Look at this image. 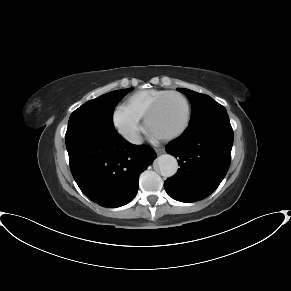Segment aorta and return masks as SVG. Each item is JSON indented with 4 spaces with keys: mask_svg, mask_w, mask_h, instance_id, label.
I'll list each match as a JSON object with an SVG mask.
<instances>
[{
    "mask_svg": "<svg viewBox=\"0 0 291 291\" xmlns=\"http://www.w3.org/2000/svg\"><path fill=\"white\" fill-rule=\"evenodd\" d=\"M157 163L163 177H172L178 170V162L176 158L170 154L159 156Z\"/></svg>",
    "mask_w": 291,
    "mask_h": 291,
    "instance_id": "aorta-1",
    "label": "aorta"
}]
</instances>
